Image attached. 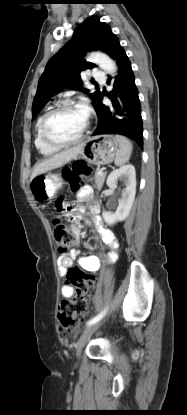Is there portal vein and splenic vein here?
I'll return each instance as SVG.
<instances>
[{"label":"portal vein and splenic vein","instance_id":"18ae733b","mask_svg":"<svg viewBox=\"0 0 187 415\" xmlns=\"http://www.w3.org/2000/svg\"><path fill=\"white\" fill-rule=\"evenodd\" d=\"M98 173H99V174H103V171H102V170H100Z\"/></svg>","mask_w":187,"mask_h":415}]
</instances>
